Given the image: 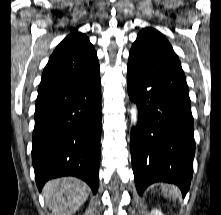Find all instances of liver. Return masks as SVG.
Returning a JSON list of instances; mask_svg holds the SVG:
<instances>
[{"mask_svg": "<svg viewBox=\"0 0 221 215\" xmlns=\"http://www.w3.org/2000/svg\"><path fill=\"white\" fill-rule=\"evenodd\" d=\"M89 187L82 180L63 177L48 181L43 196L54 215H72L88 199Z\"/></svg>", "mask_w": 221, "mask_h": 215, "instance_id": "liver-1", "label": "liver"}]
</instances>
